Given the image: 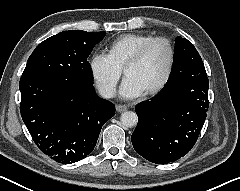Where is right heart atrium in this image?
Instances as JSON below:
<instances>
[{
	"label": "right heart atrium",
	"mask_w": 240,
	"mask_h": 191,
	"mask_svg": "<svg viewBox=\"0 0 240 191\" xmlns=\"http://www.w3.org/2000/svg\"><path fill=\"white\" fill-rule=\"evenodd\" d=\"M89 70L99 92L104 97H113L116 93L122 70L111 61L108 55L103 53H94L91 56Z\"/></svg>",
	"instance_id": "d8ad5b80"
}]
</instances>
